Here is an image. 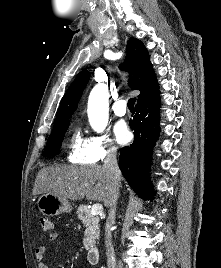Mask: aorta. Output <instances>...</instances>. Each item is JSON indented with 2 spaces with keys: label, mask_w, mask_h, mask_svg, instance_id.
<instances>
[{
  "label": "aorta",
  "mask_w": 221,
  "mask_h": 268,
  "mask_svg": "<svg viewBox=\"0 0 221 268\" xmlns=\"http://www.w3.org/2000/svg\"><path fill=\"white\" fill-rule=\"evenodd\" d=\"M108 87L97 84L91 91L88 100V118L92 129L102 133L108 124Z\"/></svg>",
  "instance_id": "1"
}]
</instances>
